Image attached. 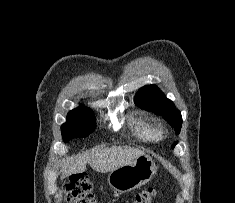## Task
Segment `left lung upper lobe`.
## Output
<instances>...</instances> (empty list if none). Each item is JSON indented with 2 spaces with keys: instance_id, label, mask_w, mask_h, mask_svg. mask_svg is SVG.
Segmentation results:
<instances>
[{
  "instance_id": "left-lung-upper-lobe-1",
  "label": "left lung upper lobe",
  "mask_w": 235,
  "mask_h": 203,
  "mask_svg": "<svg viewBox=\"0 0 235 203\" xmlns=\"http://www.w3.org/2000/svg\"><path fill=\"white\" fill-rule=\"evenodd\" d=\"M135 104L142 109L162 115L174 128L175 132L179 134L182 125L181 113L157 86L146 85L139 89L135 96ZM175 145L176 143L172 145V148Z\"/></svg>"
}]
</instances>
